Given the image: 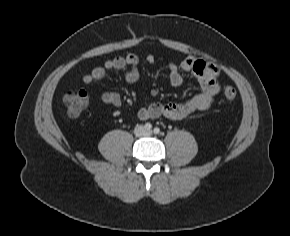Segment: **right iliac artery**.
<instances>
[{"label": "right iliac artery", "mask_w": 290, "mask_h": 236, "mask_svg": "<svg viewBox=\"0 0 290 236\" xmlns=\"http://www.w3.org/2000/svg\"><path fill=\"white\" fill-rule=\"evenodd\" d=\"M144 128H145L146 130H151V129H152V125H151V123H146V124L144 125Z\"/></svg>", "instance_id": "1"}]
</instances>
